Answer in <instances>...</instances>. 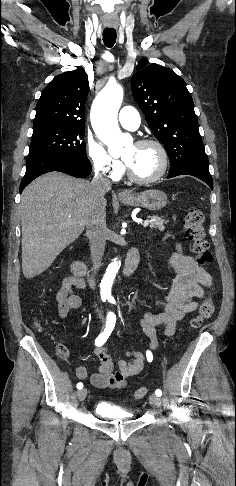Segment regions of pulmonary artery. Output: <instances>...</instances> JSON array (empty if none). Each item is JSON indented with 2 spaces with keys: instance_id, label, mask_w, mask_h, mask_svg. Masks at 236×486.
<instances>
[{
  "instance_id": "obj_1",
  "label": "pulmonary artery",
  "mask_w": 236,
  "mask_h": 486,
  "mask_svg": "<svg viewBox=\"0 0 236 486\" xmlns=\"http://www.w3.org/2000/svg\"><path fill=\"white\" fill-rule=\"evenodd\" d=\"M119 123L128 130H136L140 125V116L138 111L132 106L123 107L118 116Z\"/></svg>"
}]
</instances>
